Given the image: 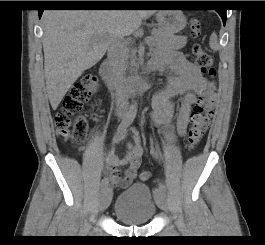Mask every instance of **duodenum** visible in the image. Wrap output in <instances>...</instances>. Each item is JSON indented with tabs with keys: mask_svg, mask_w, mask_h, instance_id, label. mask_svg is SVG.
<instances>
[{
	"mask_svg": "<svg viewBox=\"0 0 265 245\" xmlns=\"http://www.w3.org/2000/svg\"><path fill=\"white\" fill-rule=\"evenodd\" d=\"M153 69L149 65L142 67L141 75L135 76L127 81L118 78L114 73V64L111 61H104L99 68V73L103 78L108 90L112 94L128 96L135 91L147 87L150 83V75Z\"/></svg>",
	"mask_w": 265,
	"mask_h": 245,
	"instance_id": "410a0bca",
	"label": "duodenum"
}]
</instances>
